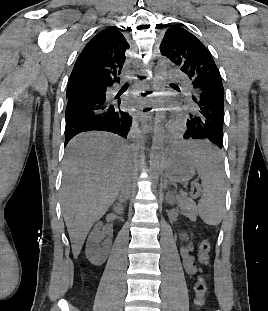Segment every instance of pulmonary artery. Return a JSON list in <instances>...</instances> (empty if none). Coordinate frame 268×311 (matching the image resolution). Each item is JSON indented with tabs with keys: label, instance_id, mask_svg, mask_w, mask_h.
Returning a JSON list of instances; mask_svg holds the SVG:
<instances>
[{
	"label": "pulmonary artery",
	"instance_id": "pulmonary-artery-1",
	"mask_svg": "<svg viewBox=\"0 0 268 311\" xmlns=\"http://www.w3.org/2000/svg\"><path fill=\"white\" fill-rule=\"evenodd\" d=\"M178 75V73L176 72V71H170L169 72V76H177ZM183 80H184V82L186 83V79L185 78H183Z\"/></svg>",
	"mask_w": 268,
	"mask_h": 311
}]
</instances>
